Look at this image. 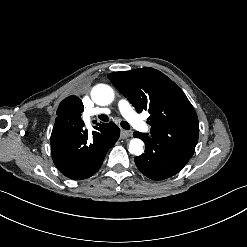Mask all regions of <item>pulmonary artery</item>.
<instances>
[{"mask_svg": "<svg viewBox=\"0 0 247 247\" xmlns=\"http://www.w3.org/2000/svg\"><path fill=\"white\" fill-rule=\"evenodd\" d=\"M117 107L120 111L121 115L127 119L128 121L132 122L133 125L138 129H143L147 132L150 131L151 127L146 123V117H142L138 115L131 105V103L126 98H120L117 101ZM111 110L109 108H101V109H93L87 110L84 114V122L87 126L90 125L92 117L98 114H110Z\"/></svg>", "mask_w": 247, "mask_h": 247, "instance_id": "obj_1", "label": "pulmonary artery"}]
</instances>
